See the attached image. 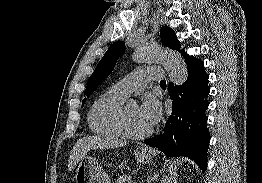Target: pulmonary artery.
I'll list each match as a JSON object with an SVG mask.
<instances>
[{
    "mask_svg": "<svg viewBox=\"0 0 262 183\" xmlns=\"http://www.w3.org/2000/svg\"><path fill=\"white\" fill-rule=\"evenodd\" d=\"M162 70L156 68H144L137 70L113 85L118 93L129 96L133 91L144 88L151 81H160Z\"/></svg>",
    "mask_w": 262,
    "mask_h": 183,
    "instance_id": "1",
    "label": "pulmonary artery"
}]
</instances>
